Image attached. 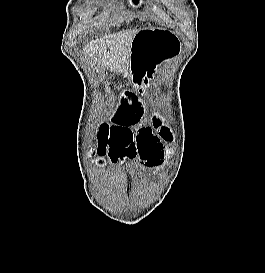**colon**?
I'll return each instance as SVG.
<instances>
[{
	"instance_id": "obj_1",
	"label": "colon",
	"mask_w": 265,
	"mask_h": 273,
	"mask_svg": "<svg viewBox=\"0 0 265 273\" xmlns=\"http://www.w3.org/2000/svg\"><path fill=\"white\" fill-rule=\"evenodd\" d=\"M150 125H153L154 128H158L159 132H162L161 139H172V134L167 131L166 127H162L163 116L161 112H158V109H155V112L152 113V120H150Z\"/></svg>"
}]
</instances>
